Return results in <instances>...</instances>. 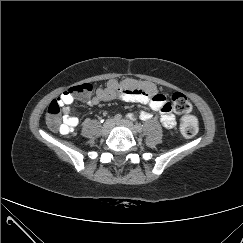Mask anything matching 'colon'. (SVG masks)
Returning <instances> with one entry per match:
<instances>
[{
  "label": "colon",
  "instance_id": "1",
  "mask_svg": "<svg viewBox=\"0 0 243 243\" xmlns=\"http://www.w3.org/2000/svg\"><path fill=\"white\" fill-rule=\"evenodd\" d=\"M93 86L89 83L75 86L69 92L80 99H87L92 93ZM168 108L178 114H183L181 122V134L189 139L193 138L199 130L198 120L195 116L190 115L191 104L188 98L179 92L172 95V103H168ZM46 121L48 126L55 131H59L62 124L61 105L57 99L53 100L46 113Z\"/></svg>",
  "mask_w": 243,
  "mask_h": 243
}]
</instances>
